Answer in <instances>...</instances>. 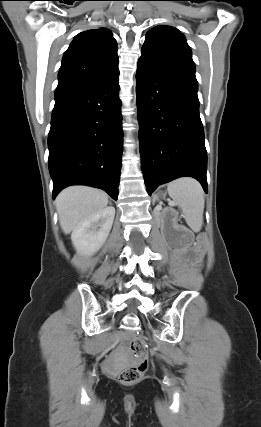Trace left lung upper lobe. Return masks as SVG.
<instances>
[{
    "label": "left lung upper lobe",
    "mask_w": 261,
    "mask_h": 427,
    "mask_svg": "<svg viewBox=\"0 0 261 427\" xmlns=\"http://www.w3.org/2000/svg\"><path fill=\"white\" fill-rule=\"evenodd\" d=\"M141 56L195 73L191 49L184 35L171 26L159 25L148 31Z\"/></svg>",
    "instance_id": "left-lung-upper-lobe-1"
}]
</instances>
